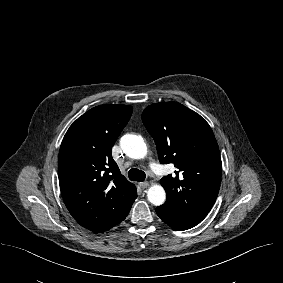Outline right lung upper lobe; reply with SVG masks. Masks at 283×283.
<instances>
[{
    "instance_id": "right-lung-upper-lobe-1",
    "label": "right lung upper lobe",
    "mask_w": 283,
    "mask_h": 283,
    "mask_svg": "<svg viewBox=\"0 0 283 283\" xmlns=\"http://www.w3.org/2000/svg\"><path fill=\"white\" fill-rule=\"evenodd\" d=\"M128 105L96 106L70 126L58 157L59 184L74 219L104 232L128 215L136 187L120 173L111 150L130 119Z\"/></svg>"
}]
</instances>
